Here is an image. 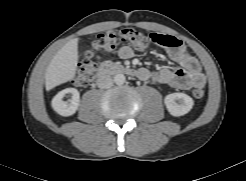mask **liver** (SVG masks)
Wrapping results in <instances>:
<instances>
[{"label":"liver","instance_id":"liver-1","mask_svg":"<svg viewBox=\"0 0 246 181\" xmlns=\"http://www.w3.org/2000/svg\"><path fill=\"white\" fill-rule=\"evenodd\" d=\"M78 41V38L68 41L52 58L45 73L47 91L74 78L79 57Z\"/></svg>","mask_w":246,"mask_h":181}]
</instances>
